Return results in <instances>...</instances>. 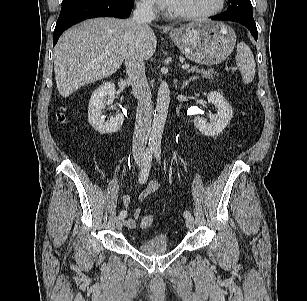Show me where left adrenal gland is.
<instances>
[{"label":"left adrenal gland","mask_w":307,"mask_h":301,"mask_svg":"<svg viewBox=\"0 0 307 301\" xmlns=\"http://www.w3.org/2000/svg\"><path fill=\"white\" fill-rule=\"evenodd\" d=\"M196 78L197 77H190L189 79L185 80L184 83H183V87H186L190 83V81H192V80H194Z\"/></svg>","instance_id":"left-adrenal-gland-1"}]
</instances>
